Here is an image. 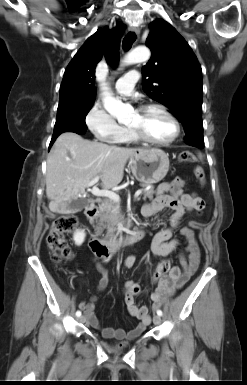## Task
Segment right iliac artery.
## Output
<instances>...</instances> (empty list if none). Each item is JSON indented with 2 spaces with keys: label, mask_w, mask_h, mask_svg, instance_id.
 Wrapping results in <instances>:
<instances>
[{
  "label": "right iliac artery",
  "mask_w": 247,
  "mask_h": 385,
  "mask_svg": "<svg viewBox=\"0 0 247 385\" xmlns=\"http://www.w3.org/2000/svg\"><path fill=\"white\" fill-rule=\"evenodd\" d=\"M76 316H77V317H80V316H81V311L78 310V311L76 312Z\"/></svg>",
  "instance_id": "82829eb1"
}]
</instances>
